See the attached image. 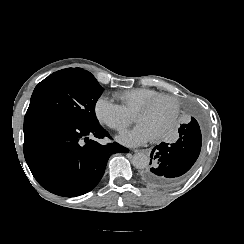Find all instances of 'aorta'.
<instances>
[{
    "instance_id": "aorta-1",
    "label": "aorta",
    "mask_w": 244,
    "mask_h": 244,
    "mask_svg": "<svg viewBox=\"0 0 244 244\" xmlns=\"http://www.w3.org/2000/svg\"><path fill=\"white\" fill-rule=\"evenodd\" d=\"M132 164L137 169H144L149 165V157L142 152L135 153L132 157Z\"/></svg>"
}]
</instances>
